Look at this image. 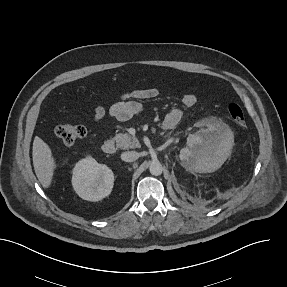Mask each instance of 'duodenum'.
I'll list each match as a JSON object with an SVG mask.
<instances>
[{
  "label": "duodenum",
  "mask_w": 287,
  "mask_h": 287,
  "mask_svg": "<svg viewBox=\"0 0 287 287\" xmlns=\"http://www.w3.org/2000/svg\"><path fill=\"white\" fill-rule=\"evenodd\" d=\"M102 150L106 154L115 153L116 151L115 143L111 139L106 140L102 145Z\"/></svg>",
  "instance_id": "410a0bca"
}]
</instances>
